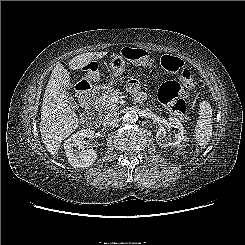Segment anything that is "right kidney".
Wrapping results in <instances>:
<instances>
[{
  "label": "right kidney",
  "instance_id": "obj_1",
  "mask_svg": "<svg viewBox=\"0 0 245 245\" xmlns=\"http://www.w3.org/2000/svg\"><path fill=\"white\" fill-rule=\"evenodd\" d=\"M94 133L93 130L83 129L65 141L64 150L69 164L74 167L85 168L95 162L97 152L93 149L86 148L84 141L85 138H93Z\"/></svg>",
  "mask_w": 245,
  "mask_h": 245
}]
</instances>
